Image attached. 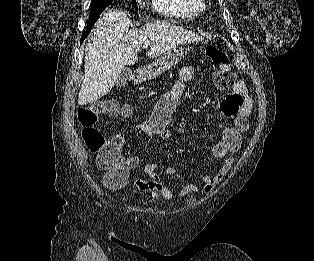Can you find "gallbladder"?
Here are the masks:
<instances>
[{"mask_svg": "<svg viewBox=\"0 0 314 261\" xmlns=\"http://www.w3.org/2000/svg\"><path fill=\"white\" fill-rule=\"evenodd\" d=\"M132 78V71L129 68H124L119 74L115 85L117 87L125 86Z\"/></svg>", "mask_w": 314, "mask_h": 261, "instance_id": "bac80fb5", "label": "gallbladder"}]
</instances>
